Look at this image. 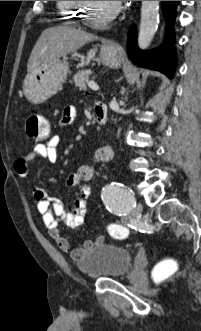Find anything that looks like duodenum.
I'll use <instances>...</instances> for the list:
<instances>
[{"label": "duodenum", "mask_w": 201, "mask_h": 331, "mask_svg": "<svg viewBox=\"0 0 201 331\" xmlns=\"http://www.w3.org/2000/svg\"><path fill=\"white\" fill-rule=\"evenodd\" d=\"M95 118L98 124H104L107 120V112L104 107L98 106L95 108Z\"/></svg>", "instance_id": "obj_1"}]
</instances>
